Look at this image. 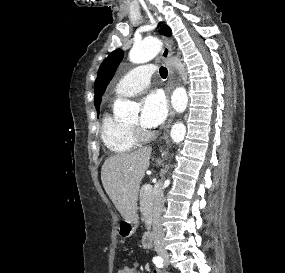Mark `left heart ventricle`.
<instances>
[{"instance_id":"1","label":"left heart ventricle","mask_w":285,"mask_h":273,"mask_svg":"<svg viewBox=\"0 0 285 273\" xmlns=\"http://www.w3.org/2000/svg\"><path fill=\"white\" fill-rule=\"evenodd\" d=\"M130 125H138V117H134L130 122H129Z\"/></svg>"}]
</instances>
